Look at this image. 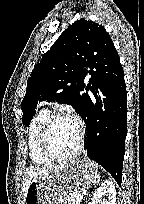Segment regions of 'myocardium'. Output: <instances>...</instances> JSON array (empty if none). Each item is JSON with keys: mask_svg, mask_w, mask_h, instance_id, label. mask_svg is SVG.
Here are the masks:
<instances>
[{"mask_svg": "<svg viewBox=\"0 0 144 204\" xmlns=\"http://www.w3.org/2000/svg\"><path fill=\"white\" fill-rule=\"evenodd\" d=\"M61 118H71L73 119L79 128V139L75 150L67 155H59L51 147L50 144V134L54 123ZM84 141H85V128L82 121L75 115L65 113V112H57L49 115L47 118L40 137V147L44 155L50 158L53 161H66L73 158H76L82 152L84 148Z\"/></svg>", "mask_w": 144, "mask_h": 204, "instance_id": "myocardium-1", "label": "myocardium"}]
</instances>
